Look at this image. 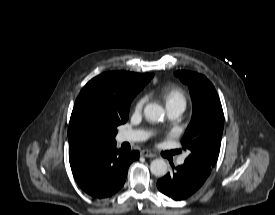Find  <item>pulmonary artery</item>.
Here are the masks:
<instances>
[{"instance_id": "obj_1", "label": "pulmonary artery", "mask_w": 275, "mask_h": 215, "mask_svg": "<svg viewBox=\"0 0 275 215\" xmlns=\"http://www.w3.org/2000/svg\"><path fill=\"white\" fill-rule=\"evenodd\" d=\"M185 110V106L183 105H176L167 108L168 115L172 119L178 118ZM147 138V134L144 131L140 130H128V131H122L119 134V140L121 142H135V141H141ZM185 158L180 157L177 161L179 165H182L184 163Z\"/></svg>"}]
</instances>
